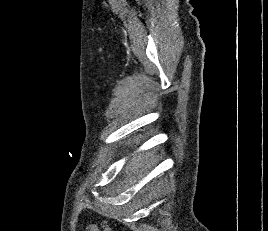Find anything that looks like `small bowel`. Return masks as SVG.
<instances>
[{
  "mask_svg": "<svg viewBox=\"0 0 268 231\" xmlns=\"http://www.w3.org/2000/svg\"><path fill=\"white\" fill-rule=\"evenodd\" d=\"M85 231H99L97 225L95 224H88L86 227H85Z\"/></svg>",
  "mask_w": 268,
  "mask_h": 231,
  "instance_id": "small-bowel-1",
  "label": "small bowel"
}]
</instances>
